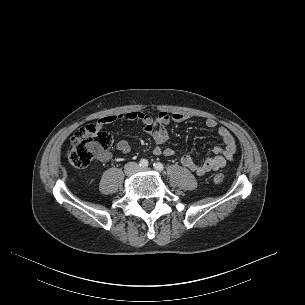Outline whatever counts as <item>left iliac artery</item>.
I'll list each match as a JSON object with an SVG mask.
<instances>
[{
  "mask_svg": "<svg viewBox=\"0 0 305 305\" xmlns=\"http://www.w3.org/2000/svg\"><path fill=\"white\" fill-rule=\"evenodd\" d=\"M153 166H154V168H155L156 170H158V171L164 170V166H163V164L160 163V162L154 163Z\"/></svg>",
  "mask_w": 305,
  "mask_h": 305,
  "instance_id": "1",
  "label": "left iliac artery"
}]
</instances>
